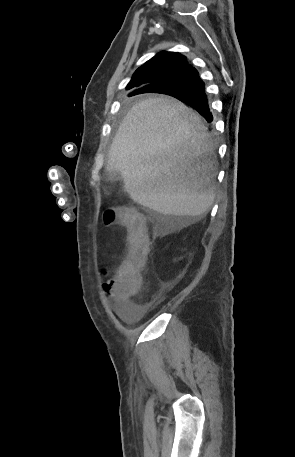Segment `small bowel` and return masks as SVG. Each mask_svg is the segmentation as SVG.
<instances>
[{
	"label": "small bowel",
	"mask_w": 295,
	"mask_h": 457,
	"mask_svg": "<svg viewBox=\"0 0 295 457\" xmlns=\"http://www.w3.org/2000/svg\"><path fill=\"white\" fill-rule=\"evenodd\" d=\"M116 304L121 311L122 317L127 321L140 318L147 310L145 306L134 304L130 301V299L116 301Z\"/></svg>",
	"instance_id": "1"
}]
</instances>
